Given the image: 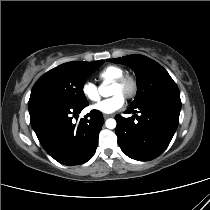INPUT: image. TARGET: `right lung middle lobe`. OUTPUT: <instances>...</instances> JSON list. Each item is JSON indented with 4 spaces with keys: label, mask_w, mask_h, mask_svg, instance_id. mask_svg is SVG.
Listing matches in <instances>:
<instances>
[{
    "label": "right lung middle lobe",
    "mask_w": 210,
    "mask_h": 210,
    "mask_svg": "<svg viewBox=\"0 0 210 210\" xmlns=\"http://www.w3.org/2000/svg\"><path fill=\"white\" fill-rule=\"evenodd\" d=\"M103 63L104 60L73 61L51 69L34 84L28 108L32 109L49 102L73 105L88 103L83 93L84 82Z\"/></svg>",
    "instance_id": "1"
}]
</instances>
